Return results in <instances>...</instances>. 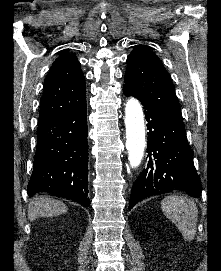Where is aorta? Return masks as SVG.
I'll use <instances>...</instances> for the list:
<instances>
[{
	"mask_svg": "<svg viewBox=\"0 0 221 271\" xmlns=\"http://www.w3.org/2000/svg\"><path fill=\"white\" fill-rule=\"evenodd\" d=\"M126 149L132 168L140 165L145 150L144 114L140 102L129 98L125 107Z\"/></svg>",
	"mask_w": 221,
	"mask_h": 271,
	"instance_id": "obj_1",
	"label": "aorta"
}]
</instances>
